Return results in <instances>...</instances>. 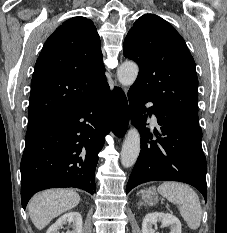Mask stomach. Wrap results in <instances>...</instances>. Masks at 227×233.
Segmentation results:
<instances>
[{"instance_id":"stomach-1","label":"stomach","mask_w":227,"mask_h":233,"mask_svg":"<svg viewBox=\"0 0 227 233\" xmlns=\"http://www.w3.org/2000/svg\"><path fill=\"white\" fill-rule=\"evenodd\" d=\"M140 193L142 195L144 203L147 205H155L159 201V197L154 188L142 190Z\"/></svg>"}]
</instances>
